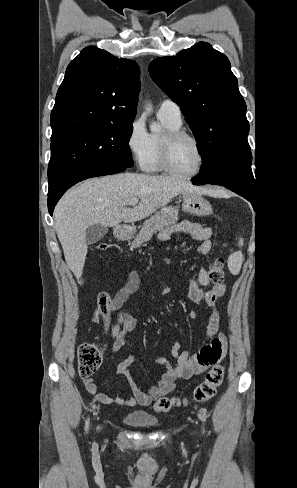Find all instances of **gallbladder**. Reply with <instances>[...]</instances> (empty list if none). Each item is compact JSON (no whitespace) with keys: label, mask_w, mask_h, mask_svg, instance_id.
<instances>
[{"label":"gallbladder","mask_w":297,"mask_h":488,"mask_svg":"<svg viewBox=\"0 0 297 488\" xmlns=\"http://www.w3.org/2000/svg\"><path fill=\"white\" fill-rule=\"evenodd\" d=\"M107 231V227L101 224H94L92 226H89L86 230V242L88 244L98 242L106 235Z\"/></svg>","instance_id":"1"}]
</instances>
